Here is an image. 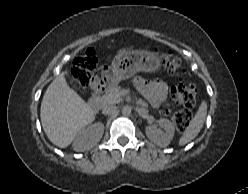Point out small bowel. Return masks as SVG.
I'll use <instances>...</instances> for the list:
<instances>
[{
  "mask_svg": "<svg viewBox=\"0 0 248 194\" xmlns=\"http://www.w3.org/2000/svg\"><path fill=\"white\" fill-rule=\"evenodd\" d=\"M138 90L153 106H161L167 98L168 86L160 79L146 80L138 78L135 80Z\"/></svg>",
  "mask_w": 248,
  "mask_h": 194,
  "instance_id": "small-bowel-1",
  "label": "small bowel"
}]
</instances>
